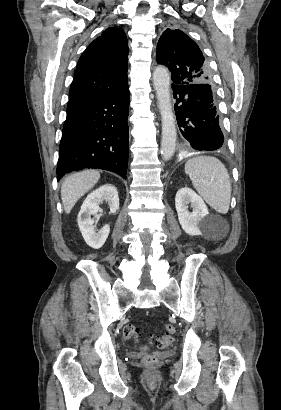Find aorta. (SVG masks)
Segmentation results:
<instances>
[{
	"label": "aorta",
	"instance_id": "obj_1",
	"mask_svg": "<svg viewBox=\"0 0 281 410\" xmlns=\"http://www.w3.org/2000/svg\"><path fill=\"white\" fill-rule=\"evenodd\" d=\"M153 84L156 91L162 121L161 153L163 160H169L175 152L177 130L170 95V74L167 68L158 66L153 73Z\"/></svg>",
	"mask_w": 281,
	"mask_h": 410
}]
</instances>
